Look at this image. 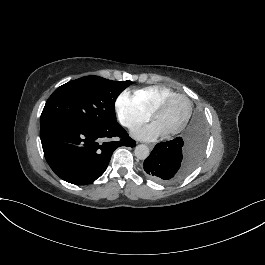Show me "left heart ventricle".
<instances>
[{"label":"left heart ventricle","mask_w":265,"mask_h":265,"mask_svg":"<svg viewBox=\"0 0 265 265\" xmlns=\"http://www.w3.org/2000/svg\"><path fill=\"white\" fill-rule=\"evenodd\" d=\"M184 112V101L180 98H173L158 111L154 122L162 132H167L181 122Z\"/></svg>","instance_id":"obj_1"}]
</instances>
